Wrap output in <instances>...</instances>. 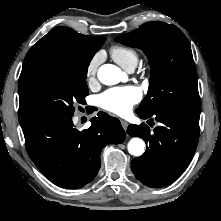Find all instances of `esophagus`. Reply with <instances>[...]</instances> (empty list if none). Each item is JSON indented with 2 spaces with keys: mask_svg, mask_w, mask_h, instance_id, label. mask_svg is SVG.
<instances>
[{
  "mask_svg": "<svg viewBox=\"0 0 221 221\" xmlns=\"http://www.w3.org/2000/svg\"><path fill=\"white\" fill-rule=\"evenodd\" d=\"M121 125L124 128V130H127L128 122H126L125 120H121Z\"/></svg>",
  "mask_w": 221,
  "mask_h": 221,
  "instance_id": "obj_1",
  "label": "esophagus"
}]
</instances>
